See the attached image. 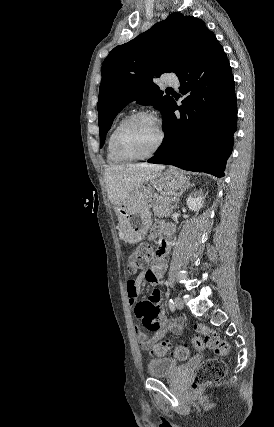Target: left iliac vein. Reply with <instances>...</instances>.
Masks as SVG:
<instances>
[{
    "mask_svg": "<svg viewBox=\"0 0 274 427\" xmlns=\"http://www.w3.org/2000/svg\"><path fill=\"white\" fill-rule=\"evenodd\" d=\"M183 306H184V303H183V301L181 300V298L176 297V298H175V307H176L177 309H182V308H183Z\"/></svg>",
    "mask_w": 274,
    "mask_h": 427,
    "instance_id": "left-iliac-vein-1",
    "label": "left iliac vein"
}]
</instances>
